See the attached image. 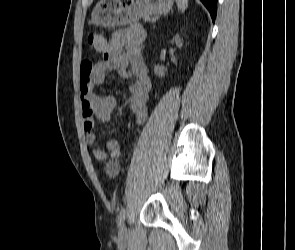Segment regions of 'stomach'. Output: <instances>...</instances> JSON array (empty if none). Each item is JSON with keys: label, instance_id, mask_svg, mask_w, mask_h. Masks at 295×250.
<instances>
[{"label": "stomach", "instance_id": "0dacf381", "mask_svg": "<svg viewBox=\"0 0 295 250\" xmlns=\"http://www.w3.org/2000/svg\"><path fill=\"white\" fill-rule=\"evenodd\" d=\"M174 0H100L91 14L97 26L125 25L155 14L167 13Z\"/></svg>", "mask_w": 295, "mask_h": 250}]
</instances>
